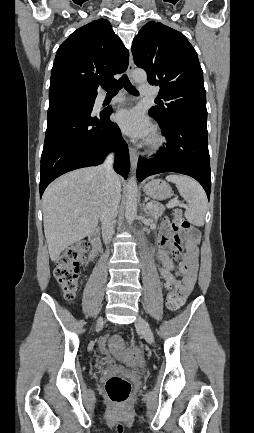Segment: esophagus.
Returning a JSON list of instances; mask_svg holds the SVG:
<instances>
[{
    "label": "esophagus",
    "mask_w": 254,
    "mask_h": 433,
    "mask_svg": "<svg viewBox=\"0 0 254 433\" xmlns=\"http://www.w3.org/2000/svg\"><path fill=\"white\" fill-rule=\"evenodd\" d=\"M133 69H134V61H133V56L130 53L129 65H128V69H127V74L129 77H131ZM129 156H130V162H131L132 170H134L137 166L139 155H138L137 150L132 148L131 146H129Z\"/></svg>",
    "instance_id": "obj_1"
}]
</instances>
